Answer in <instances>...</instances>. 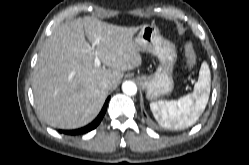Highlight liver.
I'll return each instance as SVG.
<instances>
[{"label":"liver","instance_id":"1","mask_svg":"<svg viewBox=\"0 0 249 165\" xmlns=\"http://www.w3.org/2000/svg\"><path fill=\"white\" fill-rule=\"evenodd\" d=\"M139 27H121L86 16L60 25L45 41L34 68L32 89L36 110L50 126L76 129L89 124L99 113L108 91L124 71L142 64L133 41ZM109 69L94 65L95 55ZM112 82L104 89L101 82Z\"/></svg>","mask_w":249,"mask_h":165}]
</instances>
